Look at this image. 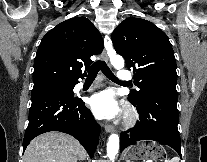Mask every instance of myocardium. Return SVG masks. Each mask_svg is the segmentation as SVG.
<instances>
[{
  "label": "myocardium",
  "mask_w": 207,
  "mask_h": 162,
  "mask_svg": "<svg viewBox=\"0 0 207 162\" xmlns=\"http://www.w3.org/2000/svg\"><path fill=\"white\" fill-rule=\"evenodd\" d=\"M137 119V114L133 108H127L124 117H123V125L125 127L132 126Z\"/></svg>",
  "instance_id": "1"
}]
</instances>
